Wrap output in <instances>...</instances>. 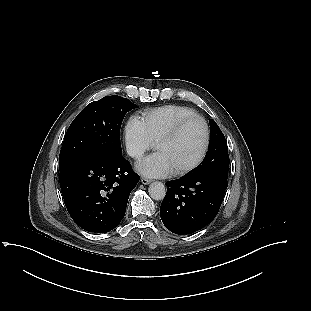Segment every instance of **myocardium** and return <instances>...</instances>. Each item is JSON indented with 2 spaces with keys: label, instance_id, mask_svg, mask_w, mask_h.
Returning a JSON list of instances; mask_svg holds the SVG:
<instances>
[{
  "label": "myocardium",
  "instance_id": "f54148a6",
  "mask_svg": "<svg viewBox=\"0 0 311 311\" xmlns=\"http://www.w3.org/2000/svg\"><path fill=\"white\" fill-rule=\"evenodd\" d=\"M193 122H199V123H201V125L203 127L204 138H203V144H202L201 150H200L199 154L197 155V157L192 162L174 170L173 171L174 175L186 174V173L192 171L193 169H195L196 167H198L201 164V162L204 160V158L207 154L208 148H209V144H210V130H209L208 123L206 122V120L203 117H201L199 115L189 116V117H186V118L179 120L171 128H169L164 133H162L159 136V138L156 140V145L162 141L173 140L182 132V130L187 125H189Z\"/></svg>",
  "mask_w": 311,
  "mask_h": 311
}]
</instances>
